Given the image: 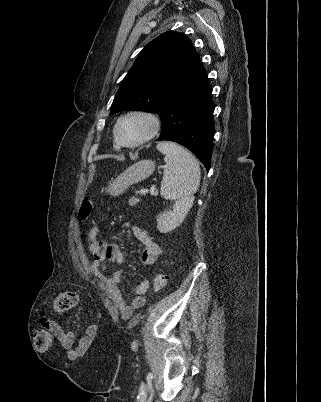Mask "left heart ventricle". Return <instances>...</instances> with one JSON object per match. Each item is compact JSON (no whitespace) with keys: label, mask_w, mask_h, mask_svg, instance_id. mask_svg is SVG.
<instances>
[{"label":"left heart ventricle","mask_w":321,"mask_h":402,"mask_svg":"<svg viewBox=\"0 0 321 402\" xmlns=\"http://www.w3.org/2000/svg\"><path fill=\"white\" fill-rule=\"evenodd\" d=\"M149 129L148 122L141 117L123 121L119 127V137L124 143H133L143 137Z\"/></svg>","instance_id":"1"}]
</instances>
